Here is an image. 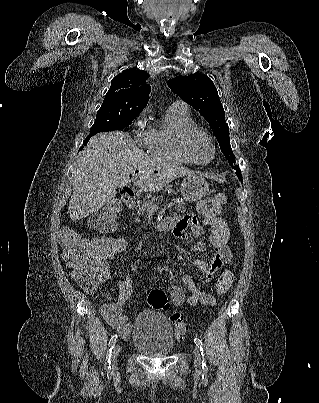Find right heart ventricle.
Segmentation results:
<instances>
[{
    "instance_id": "e07e8e85",
    "label": "right heart ventricle",
    "mask_w": 319,
    "mask_h": 403,
    "mask_svg": "<svg viewBox=\"0 0 319 403\" xmlns=\"http://www.w3.org/2000/svg\"><path fill=\"white\" fill-rule=\"evenodd\" d=\"M196 126L187 107L172 104L163 120L152 128L150 153L153 157L181 165H192L180 148V135L187 128Z\"/></svg>"
}]
</instances>
